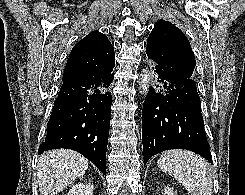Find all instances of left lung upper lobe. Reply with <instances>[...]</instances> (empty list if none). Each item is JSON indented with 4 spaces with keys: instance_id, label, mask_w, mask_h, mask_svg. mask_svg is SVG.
Masks as SVG:
<instances>
[{
    "instance_id": "left-lung-upper-lobe-1",
    "label": "left lung upper lobe",
    "mask_w": 245,
    "mask_h": 195,
    "mask_svg": "<svg viewBox=\"0 0 245 195\" xmlns=\"http://www.w3.org/2000/svg\"><path fill=\"white\" fill-rule=\"evenodd\" d=\"M146 53L166 72L192 80L195 57L187 37L174 24L165 20L155 23L147 41Z\"/></svg>"
}]
</instances>
